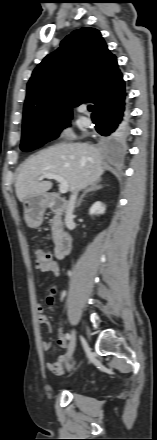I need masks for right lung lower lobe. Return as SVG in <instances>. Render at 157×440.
I'll use <instances>...</instances> for the list:
<instances>
[{
    "mask_svg": "<svg viewBox=\"0 0 157 440\" xmlns=\"http://www.w3.org/2000/svg\"><path fill=\"white\" fill-rule=\"evenodd\" d=\"M96 131L105 137L124 139L128 133L129 115L126 94L116 97L92 114Z\"/></svg>",
    "mask_w": 157,
    "mask_h": 440,
    "instance_id": "1",
    "label": "right lung lower lobe"
}]
</instances>
